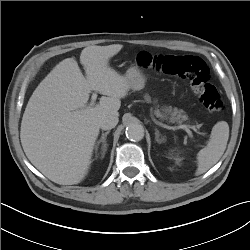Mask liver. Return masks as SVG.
<instances>
[{
    "mask_svg": "<svg viewBox=\"0 0 250 250\" xmlns=\"http://www.w3.org/2000/svg\"><path fill=\"white\" fill-rule=\"evenodd\" d=\"M123 45L88 46L80 54L86 78L74 58H66L40 82L24 111L20 139L30 162L60 185L80 183L87 175L99 120L119 115L128 79L109 66ZM91 91L102 95L87 106ZM81 110L82 113L74 114Z\"/></svg>",
    "mask_w": 250,
    "mask_h": 250,
    "instance_id": "6515ba94",
    "label": "liver"
}]
</instances>
